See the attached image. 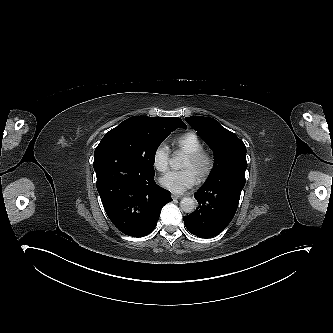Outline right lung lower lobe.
I'll list each match as a JSON object with an SVG mask.
<instances>
[{
  "mask_svg": "<svg viewBox=\"0 0 333 333\" xmlns=\"http://www.w3.org/2000/svg\"><path fill=\"white\" fill-rule=\"evenodd\" d=\"M97 190L111 222L124 234L143 237L157 225L170 192L154 182L149 171L112 143L94 155Z\"/></svg>",
  "mask_w": 333,
  "mask_h": 333,
  "instance_id": "obj_1",
  "label": "right lung lower lobe"
}]
</instances>
